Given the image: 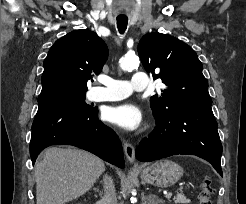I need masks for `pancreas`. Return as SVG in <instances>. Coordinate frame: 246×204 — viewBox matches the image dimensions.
I'll list each match as a JSON object with an SVG mask.
<instances>
[{
  "mask_svg": "<svg viewBox=\"0 0 246 204\" xmlns=\"http://www.w3.org/2000/svg\"><path fill=\"white\" fill-rule=\"evenodd\" d=\"M174 202H175V204H177V203L188 204V203H190V199L185 197L183 194H179L175 198Z\"/></svg>",
  "mask_w": 246,
  "mask_h": 204,
  "instance_id": "1",
  "label": "pancreas"
}]
</instances>
